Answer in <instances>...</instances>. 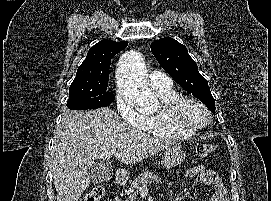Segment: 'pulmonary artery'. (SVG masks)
<instances>
[{
    "mask_svg": "<svg viewBox=\"0 0 271 201\" xmlns=\"http://www.w3.org/2000/svg\"><path fill=\"white\" fill-rule=\"evenodd\" d=\"M150 83L154 88L169 87L172 84L171 78L159 70L150 73Z\"/></svg>",
    "mask_w": 271,
    "mask_h": 201,
    "instance_id": "pulmonary-artery-1",
    "label": "pulmonary artery"
}]
</instances>
